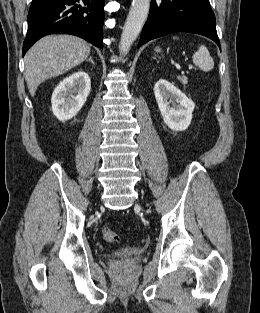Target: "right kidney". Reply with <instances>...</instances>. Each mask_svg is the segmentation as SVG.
<instances>
[{
    "instance_id": "ca27d5eb",
    "label": "right kidney",
    "mask_w": 260,
    "mask_h": 313,
    "mask_svg": "<svg viewBox=\"0 0 260 313\" xmlns=\"http://www.w3.org/2000/svg\"><path fill=\"white\" fill-rule=\"evenodd\" d=\"M90 89L91 81L84 71H77L63 79L51 97L53 114L62 122L74 117L85 104Z\"/></svg>"
}]
</instances>
